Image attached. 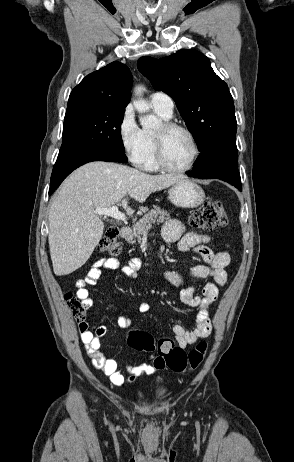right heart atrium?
Instances as JSON below:
<instances>
[{
  "label": "right heart atrium",
  "instance_id": "1",
  "mask_svg": "<svg viewBox=\"0 0 294 462\" xmlns=\"http://www.w3.org/2000/svg\"><path fill=\"white\" fill-rule=\"evenodd\" d=\"M118 136L128 160L139 166L145 150L143 132L138 126L131 107H126L118 123Z\"/></svg>",
  "mask_w": 294,
  "mask_h": 462
}]
</instances>
